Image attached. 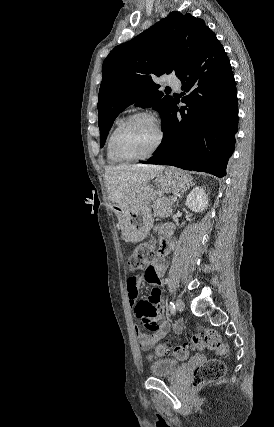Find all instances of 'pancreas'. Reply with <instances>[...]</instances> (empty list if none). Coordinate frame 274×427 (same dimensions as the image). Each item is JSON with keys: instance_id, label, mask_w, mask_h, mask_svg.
<instances>
[{"instance_id": "obj_1", "label": "pancreas", "mask_w": 274, "mask_h": 427, "mask_svg": "<svg viewBox=\"0 0 274 427\" xmlns=\"http://www.w3.org/2000/svg\"><path fill=\"white\" fill-rule=\"evenodd\" d=\"M154 215L158 217H169L173 214V202L171 198H157L153 204Z\"/></svg>"}]
</instances>
